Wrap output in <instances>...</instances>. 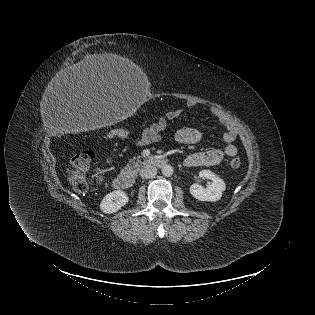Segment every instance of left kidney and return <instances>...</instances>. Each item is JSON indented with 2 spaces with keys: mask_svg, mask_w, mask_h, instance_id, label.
Here are the masks:
<instances>
[{
  "mask_svg": "<svg viewBox=\"0 0 315 315\" xmlns=\"http://www.w3.org/2000/svg\"><path fill=\"white\" fill-rule=\"evenodd\" d=\"M200 177L212 180V183L206 188L198 183L190 186L191 195L199 201H217L222 197V192L225 190V183L222 178L215 175L209 170H202L199 173Z\"/></svg>",
  "mask_w": 315,
  "mask_h": 315,
  "instance_id": "5707ae66",
  "label": "left kidney"
}]
</instances>
